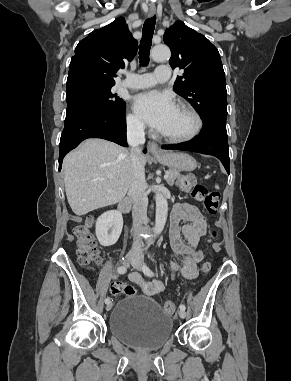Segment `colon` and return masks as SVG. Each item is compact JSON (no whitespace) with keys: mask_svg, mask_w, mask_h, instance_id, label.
I'll use <instances>...</instances> for the list:
<instances>
[{"mask_svg":"<svg viewBox=\"0 0 291 381\" xmlns=\"http://www.w3.org/2000/svg\"><path fill=\"white\" fill-rule=\"evenodd\" d=\"M178 188L184 194L203 202L208 214L215 215L218 212L219 194L217 192L209 191L193 178L181 179L178 182ZM73 232L76 237V255L79 263L88 267L98 264L100 262V255L92 234V222L77 225ZM218 236L217 229L211 228L209 230L208 242L215 243ZM202 268L204 272H207L210 269V263L205 262ZM110 289L113 295L133 296L136 294V290L132 286L121 282L112 283ZM163 308L166 314L173 315L176 311V304L173 301H167Z\"/></svg>","mask_w":291,"mask_h":381,"instance_id":"1","label":"colon"}]
</instances>
